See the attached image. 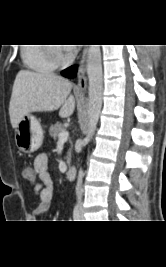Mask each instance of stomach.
<instances>
[{"mask_svg":"<svg viewBox=\"0 0 166 267\" xmlns=\"http://www.w3.org/2000/svg\"><path fill=\"white\" fill-rule=\"evenodd\" d=\"M43 142V130L39 120L33 115L24 116L15 128V143L24 153H32L40 148Z\"/></svg>","mask_w":166,"mask_h":267,"instance_id":"1","label":"stomach"}]
</instances>
